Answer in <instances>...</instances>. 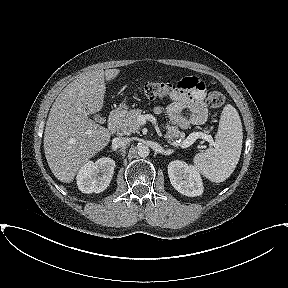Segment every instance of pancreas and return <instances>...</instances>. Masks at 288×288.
Masks as SVG:
<instances>
[{
    "instance_id": "cf45deb5",
    "label": "pancreas",
    "mask_w": 288,
    "mask_h": 288,
    "mask_svg": "<svg viewBox=\"0 0 288 288\" xmlns=\"http://www.w3.org/2000/svg\"><path fill=\"white\" fill-rule=\"evenodd\" d=\"M142 114V110L133 109L128 111L124 117L120 118L117 123V131L119 135H130L132 133H138L140 129V123L138 122V116ZM185 136L184 132H181L177 127L170 126L165 138L167 142L175 147L183 145V141L177 142L178 138L183 139Z\"/></svg>"
}]
</instances>
